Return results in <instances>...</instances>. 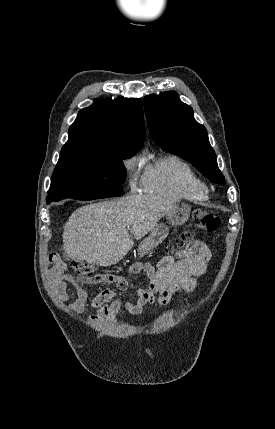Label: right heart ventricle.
Listing matches in <instances>:
<instances>
[{"instance_id": "obj_1", "label": "right heart ventricle", "mask_w": 275, "mask_h": 429, "mask_svg": "<svg viewBox=\"0 0 275 429\" xmlns=\"http://www.w3.org/2000/svg\"><path fill=\"white\" fill-rule=\"evenodd\" d=\"M143 187L146 192L190 201L207 198V186L192 166L174 154L158 157L145 167Z\"/></svg>"}]
</instances>
